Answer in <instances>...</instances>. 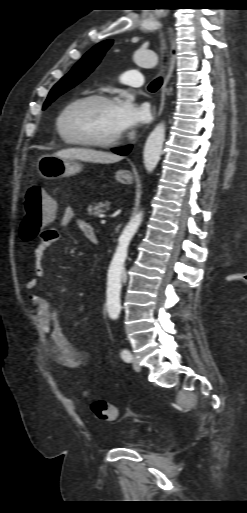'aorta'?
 Returning <instances> with one entry per match:
<instances>
[{"instance_id": "762f6f07", "label": "aorta", "mask_w": 247, "mask_h": 513, "mask_svg": "<svg viewBox=\"0 0 247 513\" xmlns=\"http://www.w3.org/2000/svg\"><path fill=\"white\" fill-rule=\"evenodd\" d=\"M158 57L154 51H137L134 54V62L141 67L153 68L157 65ZM165 124L159 123L149 134L144 150L143 162L147 172L151 173L156 168L165 140ZM143 213L139 212L122 232L118 246L111 261L108 272V306L109 314L117 318L121 311L120 291L122 287V274L124 263L128 254V247L134 234L142 222Z\"/></svg>"}]
</instances>
